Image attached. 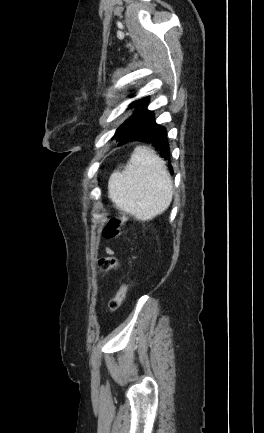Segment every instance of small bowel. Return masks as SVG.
<instances>
[{
  "label": "small bowel",
  "instance_id": "c3829d8e",
  "mask_svg": "<svg viewBox=\"0 0 264 433\" xmlns=\"http://www.w3.org/2000/svg\"><path fill=\"white\" fill-rule=\"evenodd\" d=\"M108 252L112 253V250H111V249H108Z\"/></svg>",
  "mask_w": 264,
  "mask_h": 433
}]
</instances>
